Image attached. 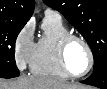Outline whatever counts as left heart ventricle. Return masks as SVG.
<instances>
[{
	"label": "left heart ventricle",
	"instance_id": "left-heart-ventricle-1",
	"mask_svg": "<svg viewBox=\"0 0 107 89\" xmlns=\"http://www.w3.org/2000/svg\"><path fill=\"white\" fill-rule=\"evenodd\" d=\"M66 61L70 72L73 74H81L86 70L89 64V56L81 42L77 40L70 42L66 52Z\"/></svg>",
	"mask_w": 107,
	"mask_h": 89
}]
</instances>
